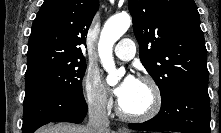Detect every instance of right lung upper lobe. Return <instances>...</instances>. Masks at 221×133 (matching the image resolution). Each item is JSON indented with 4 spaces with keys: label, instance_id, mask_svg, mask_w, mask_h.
I'll return each instance as SVG.
<instances>
[{
    "label": "right lung upper lobe",
    "instance_id": "right-lung-upper-lobe-1",
    "mask_svg": "<svg viewBox=\"0 0 221 133\" xmlns=\"http://www.w3.org/2000/svg\"><path fill=\"white\" fill-rule=\"evenodd\" d=\"M97 8L98 0H45L32 25L25 75L83 62L80 45L86 44Z\"/></svg>",
    "mask_w": 221,
    "mask_h": 133
}]
</instances>
